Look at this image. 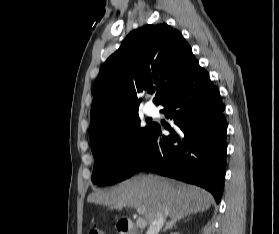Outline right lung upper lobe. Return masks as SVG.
I'll return each instance as SVG.
<instances>
[{
	"mask_svg": "<svg viewBox=\"0 0 279 234\" xmlns=\"http://www.w3.org/2000/svg\"><path fill=\"white\" fill-rule=\"evenodd\" d=\"M198 63L182 34L165 23L132 31L102 65L91 108L90 144L138 114L137 93L152 85L158 105Z\"/></svg>",
	"mask_w": 279,
	"mask_h": 234,
	"instance_id": "obj_1",
	"label": "right lung upper lobe"
}]
</instances>
